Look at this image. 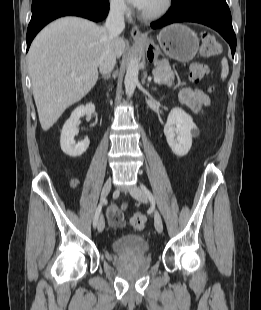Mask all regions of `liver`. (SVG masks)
Segmentation results:
<instances>
[{"mask_svg":"<svg viewBox=\"0 0 261 310\" xmlns=\"http://www.w3.org/2000/svg\"><path fill=\"white\" fill-rule=\"evenodd\" d=\"M108 36L105 27L69 16L50 23L35 37L27 55L28 70L44 131L94 87ZM113 49L120 58L124 40L118 37Z\"/></svg>","mask_w":261,"mask_h":310,"instance_id":"liver-1","label":"liver"}]
</instances>
